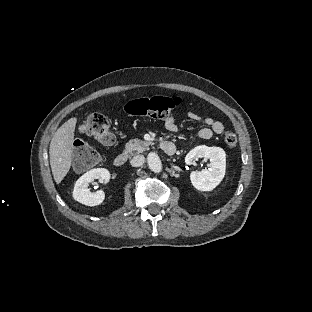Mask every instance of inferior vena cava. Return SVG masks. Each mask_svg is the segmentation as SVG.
<instances>
[{
  "instance_id": "inferior-vena-cava-1",
  "label": "inferior vena cava",
  "mask_w": 312,
  "mask_h": 312,
  "mask_svg": "<svg viewBox=\"0 0 312 312\" xmlns=\"http://www.w3.org/2000/svg\"><path fill=\"white\" fill-rule=\"evenodd\" d=\"M144 160H145V158L143 155H137L130 160V164L133 167H139V166H142L144 164Z\"/></svg>"
}]
</instances>
